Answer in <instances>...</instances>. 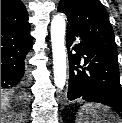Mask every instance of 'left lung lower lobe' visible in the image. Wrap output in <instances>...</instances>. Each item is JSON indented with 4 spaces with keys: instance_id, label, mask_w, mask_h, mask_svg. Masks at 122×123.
I'll return each mask as SVG.
<instances>
[{
    "instance_id": "0a47b994",
    "label": "left lung lower lobe",
    "mask_w": 122,
    "mask_h": 123,
    "mask_svg": "<svg viewBox=\"0 0 122 123\" xmlns=\"http://www.w3.org/2000/svg\"><path fill=\"white\" fill-rule=\"evenodd\" d=\"M75 36L78 37L67 29L68 49ZM74 50L76 54L69 52L68 100L97 102L121 110L122 88L117 54L83 39ZM82 55H85V67L80 65Z\"/></svg>"
}]
</instances>
